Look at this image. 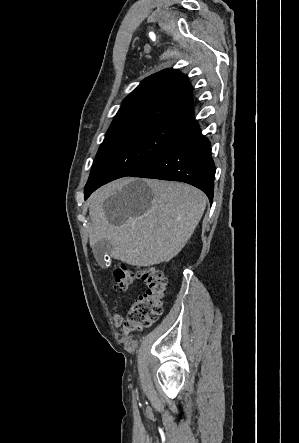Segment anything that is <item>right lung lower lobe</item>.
<instances>
[{
	"instance_id": "1",
	"label": "right lung lower lobe",
	"mask_w": 299,
	"mask_h": 443,
	"mask_svg": "<svg viewBox=\"0 0 299 443\" xmlns=\"http://www.w3.org/2000/svg\"><path fill=\"white\" fill-rule=\"evenodd\" d=\"M214 173L210 141L201 134L193 113L171 143L128 176L185 182L212 199Z\"/></svg>"
}]
</instances>
